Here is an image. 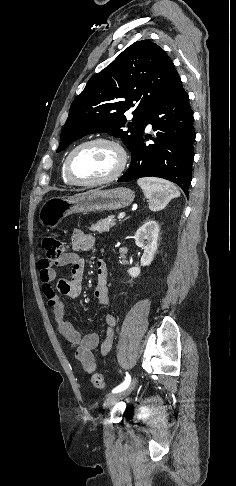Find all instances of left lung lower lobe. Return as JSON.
I'll return each mask as SVG.
<instances>
[{
  "label": "left lung lower lobe",
  "mask_w": 236,
  "mask_h": 486,
  "mask_svg": "<svg viewBox=\"0 0 236 486\" xmlns=\"http://www.w3.org/2000/svg\"><path fill=\"white\" fill-rule=\"evenodd\" d=\"M193 111L180 77L150 108L145 126L156 131L154 144L141 136L131 150V164L119 182L141 177H160L179 185L188 195L192 179L194 141Z\"/></svg>",
  "instance_id": "0a47b994"
}]
</instances>
